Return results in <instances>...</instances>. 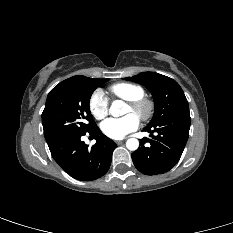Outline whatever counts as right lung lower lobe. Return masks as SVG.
Segmentation results:
<instances>
[{
	"label": "right lung lower lobe",
	"mask_w": 233,
	"mask_h": 233,
	"mask_svg": "<svg viewBox=\"0 0 233 233\" xmlns=\"http://www.w3.org/2000/svg\"><path fill=\"white\" fill-rule=\"evenodd\" d=\"M96 139L91 148L81 141L84 134L69 135L48 144L54 160L72 177L95 180L107 173L112 152L117 147L114 141L101 133L96 125L88 131Z\"/></svg>",
	"instance_id": "obj_1"
}]
</instances>
